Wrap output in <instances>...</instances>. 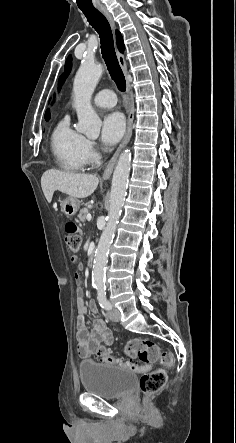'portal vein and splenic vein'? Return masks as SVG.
Here are the masks:
<instances>
[{
    "label": "portal vein and splenic vein",
    "mask_w": 236,
    "mask_h": 443,
    "mask_svg": "<svg viewBox=\"0 0 236 443\" xmlns=\"http://www.w3.org/2000/svg\"><path fill=\"white\" fill-rule=\"evenodd\" d=\"M91 219H92L91 214H88V215H87V220L90 221Z\"/></svg>",
    "instance_id": "1"
}]
</instances>
